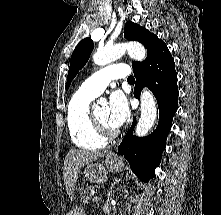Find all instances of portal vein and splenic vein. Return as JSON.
Segmentation results:
<instances>
[{
  "label": "portal vein and splenic vein",
  "mask_w": 221,
  "mask_h": 215,
  "mask_svg": "<svg viewBox=\"0 0 221 215\" xmlns=\"http://www.w3.org/2000/svg\"><path fill=\"white\" fill-rule=\"evenodd\" d=\"M98 199H99V197H96V196L93 198V200H98Z\"/></svg>",
  "instance_id": "portal-vein-and-splenic-vein-1"
}]
</instances>
